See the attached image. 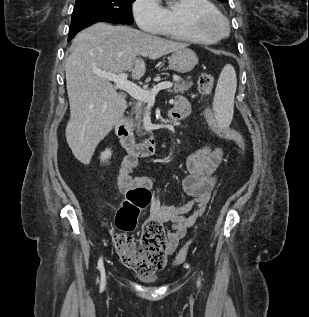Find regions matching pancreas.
Masks as SVG:
<instances>
[{
  "label": "pancreas",
  "instance_id": "pancreas-1",
  "mask_svg": "<svg viewBox=\"0 0 309 317\" xmlns=\"http://www.w3.org/2000/svg\"><path fill=\"white\" fill-rule=\"evenodd\" d=\"M189 79L190 78L188 77V79L185 81L181 77L176 76V79H174L172 83L173 87L169 89L168 92L173 94L185 93L193 85V83L189 81ZM146 110H147V106H146V103L143 101H137L132 107L131 122L133 123V126L136 129V133L139 136L146 134L144 127L142 125L143 117L145 115Z\"/></svg>",
  "mask_w": 309,
  "mask_h": 317
}]
</instances>
